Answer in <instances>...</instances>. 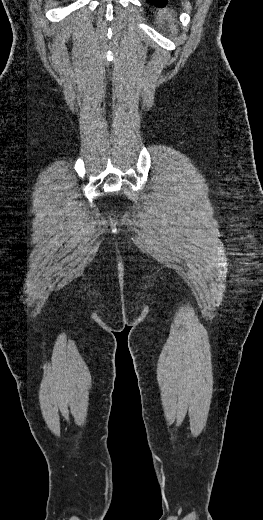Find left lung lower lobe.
<instances>
[{
  "instance_id": "0a47b994",
  "label": "left lung lower lobe",
  "mask_w": 263,
  "mask_h": 520,
  "mask_svg": "<svg viewBox=\"0 0 263 520\" xmlns=\"http://www.w3.org/2000/svg\"><path fill=\"white\" fill-rule=\"evenodd\" d=\"M149 3L151 4H154L155 6H158V7H163L168 0H147Z\"/></svg>"
}]
</instances>
